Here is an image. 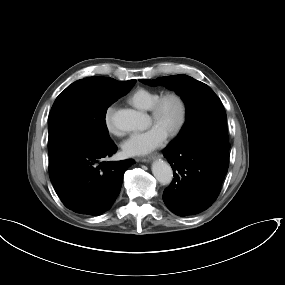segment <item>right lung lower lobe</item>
I'll use <instances>...</instances> for the list:
<instances>
[{
    "instance_id": "obj_1",
    "label": "right lung lower lobe",
    "mask_w": 285,
    "mask_h": 285,
    "mask_svg": "<svg viewBox=\"0 0 285 285\" xmlns=\"http://www.w3.org/2000/svg\"><path fill=\"white\" fill-rule=\"evenodd\" d=\"M117 152L113 141L78 144L50 158L49 176L62 203L75 213L100 215L108 211L120 193L128 159L103 162Z\"/></svg>"
}]
</instances>
